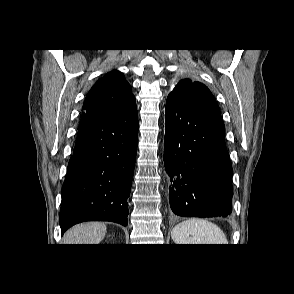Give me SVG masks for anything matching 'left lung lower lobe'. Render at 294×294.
<instances>
[{
  "label": "left lung lower lobe",
  "mask_w": 294,
  "mask_h": 294,
  "mask_svg": "<svg viewBox=\"0 0 294 294\" xmlns=\"http://www.w3.org/2000/svg\"><path fill=\"white\" fill-rule=\"evenodd\" d=\"M164 165L172 211L184 217L228 216L232 165L217 106L189 107L167 98Z\"/></svg>",
  "instance_id": "obj_1"
}]
</instances>
